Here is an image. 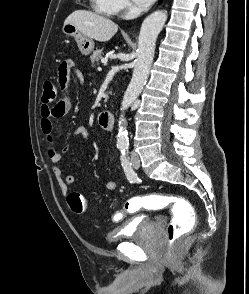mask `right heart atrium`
Instances as JSON below:
<instances>
[{
	"label": "right heart atrium",
	"mask_w": 249,
	"mask_h": 294,
	"mask_svg": "<svg viewBox=\"0 0 249 294\" xmlns=\"http://www.w3.org/2000/svg\"><path fill=\"white\" fill-rule=\"evenodd\" d=\"M116 2H117L118 12L125 13L131 7L129 0H116Z\"/></svg>",
	"instance_id": "obj_1"
}]
</instances>
